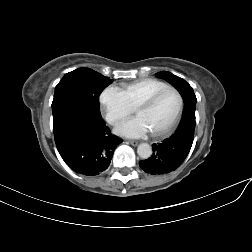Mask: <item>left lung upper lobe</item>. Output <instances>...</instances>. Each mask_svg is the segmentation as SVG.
I'll return each mask as SVG.
<instances>
[{
  "mask_svg": "<svg viewBox=\"0 0 252 252\" xmlns=\"http://www.w3.org/2000/svg\"><path fill=\"white\" fill-rule=\"evenodd\" d=\"M157 77L166 79L169 83H171L180 92L183 100H185L189 95L195 96L192 87L182 78L166 71L158 72Z\"/></svg>",
  "mask_w": 252,
  "mask_h": 252,
  "instance_id": "1",
  "label": "left lung upper lobe"
}]
</instances>
